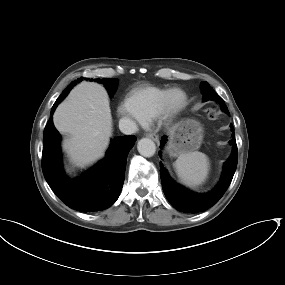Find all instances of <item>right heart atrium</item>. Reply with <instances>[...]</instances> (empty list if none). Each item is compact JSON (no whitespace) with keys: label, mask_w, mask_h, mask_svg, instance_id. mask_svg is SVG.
<instances>
[{"label":"right heart atrium","mask_w":285,"mask_h":285,"mask_svg":"<svg viewBox=\"0 0 285 285\" xmlns=\"http://www.w3.org/2000/svg\"><path fill=\"white\" fill-rule=\"evenodd\" d=\"M116 113L119 119L124 121H132L136 119L135 114L125 102L117 106Z\"/></svg>","instance_id":"1"}]
</instances>
